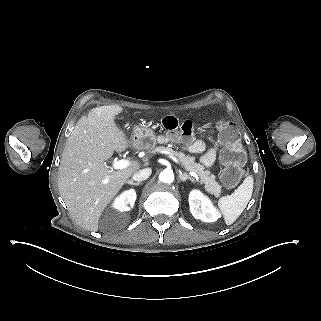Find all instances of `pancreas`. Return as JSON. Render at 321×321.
I'll use <instances>...</instances> for the list:
<instances>
[{"mask_svg":"<svg viewBox=\"0 0 321 321\" xmlns=\"http://www.w3.org/2000/svg\"><path fill=\"white\" fill-rule=\"evenodd\" d=\"M148 152L151 154L168 152L170 155L176 156L185 170L195 172L199 176L200 183L205 185V190L208 193L213 194L215 197L220 196L222 186L215 180V175L211 174L209 170H205V167L200 163H196L195 157L187 156L183 152L174 151L164 146L155 147L152 150H148Z\"/></svg>","mask_w":321,"mask_h":321,"instance_id":"cf45deb5","label":"pancreas"}]
</instances>
